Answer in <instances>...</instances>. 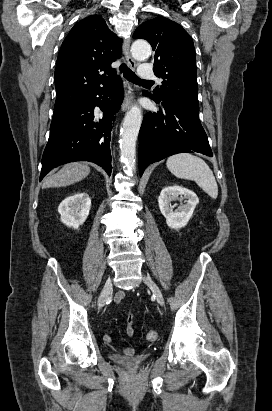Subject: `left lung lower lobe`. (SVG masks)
<instances>
[{
    "instance_id": "left-lung-lower-lobe-1",
    "label": "left lung lower lobe",
    "mask_w": 272,
    "mask_h": 411,
    "mask_svg": "<svg viewBox=\"0 0 272 411\" xmlns=\"http://www.w3.org/2000/svg\"><path fill=\"white\" fill-rule=\"evenodd\" d=\"M152 99L159 105L160 113H147L140 128V176L149 164L173 154L195 151L213 155L199 120V111L166 100Z\"/></svg>"
}]
</instances>
